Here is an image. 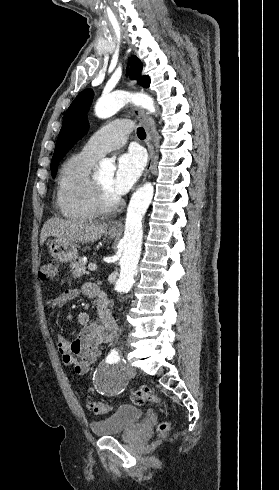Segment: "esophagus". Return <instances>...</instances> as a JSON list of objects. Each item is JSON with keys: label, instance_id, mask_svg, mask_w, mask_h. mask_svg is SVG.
<instances>
[{"label": "esophagus", "instance_id": "esophagus-1", "mask_svg": "<svg viewBox=\"0 0 279 490\" xmlns=\"http://www.w3.org/2000/svg\"><path fill=\"white\" fill-rule=\"evenodd\" d=\"M133 113L138 118L140 123L144 126L146 133H147L148 161H147V164L145 167V173H144V177H143V180H145L148 173L150 172V170L155 167L156 150H155V147H154L153 142H152V140H153L152 139V133H151L150 126L148 124L144 110H142L141 108L134 107ZM110 228L111 229L122 228V223L118 220L113 221L110 224Z\"/></svg>", "mask_w": 279, "mask_h": 490}]
</instances>
